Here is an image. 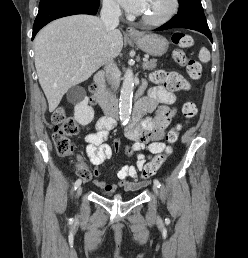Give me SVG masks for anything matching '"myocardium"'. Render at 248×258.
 <instances>
[{
  "instance_id": "myocardium-1",
  "label": "myocardium",
  "mask_w": 248,
  "mask_h": 258,
  "mask_svg": "<svg viewBox=\"0 0 248 258\" xmlns=\"http://www.w3.org/2000/svg\"><path fill=\"white\" fill-rule=\"evenodd\" d=\"M178 9H179V0H171V8L164 16L157 19H148V18L142 17L141 20L143 21V23L149 26L163 25L169 22L175 16Z\"/></svg>"
}]
</instances>
